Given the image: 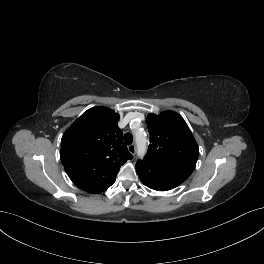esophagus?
Wrapping results in <instances>:
<instances>
[{"mask_svg": "<svg viewBox=\"0 0 264 264\" xmlns=\"http://www.w3.org/2000/svg\"><path fill=\"white\" fill-rule=\"evenodd\" d=\"M128 151L132 154L135 155L136 153V145L135 144H131L128 146Z\"/></svg>", "mask_w": 264, "mask_h": 264, "instance_id": "obj_1", "label": "esophagus"}]
</instances>
